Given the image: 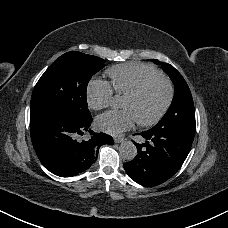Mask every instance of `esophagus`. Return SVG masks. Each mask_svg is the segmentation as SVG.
I'll return each instance as SVG.
<instances>
[{"mask_svg": "<svg viewBox=\"0 0 228 228\" xmlns=\"http://www.w3.org/2000/svg\"><path fill=\"white\" fill-rule=\"evenodd\" d=\"M123 140H124L123 137H116V138H114V142H115L116 144L123 142Z\"/></svg>", "mask_w": 228, "mask_h": 228, "instance_id": "34e87169", "label": "esophagus"}]
</instances>
